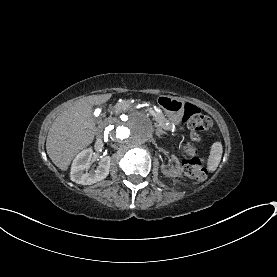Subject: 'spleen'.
Masks as SVG:
<instances>
[{
  "instance_id": "3e777b00",
  "label": "spleen",
  "mask_w": 277,
  "mask_h": 277,
  "mask_svg": "<svg viewBox=\"0 0 277 277\" xmlns=\"http://www.w3.org/2000/svg\"><path fill=\"white\" fill-rule=\"evenodd\" d=\"M222 152V144L220 142L213 143V145L211 146V151L207 163L208 169L210 171H215L218 167V164L221 160Z\"/></svg>"
}]
</instances>
